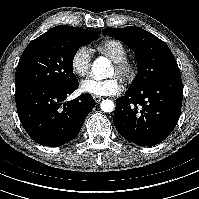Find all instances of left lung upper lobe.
Returning a JSON list of instances; mask_svg holds the SVG:
<instances>
[{"mask_svg":"<svg viewBox=\"0 0 199 199\" xmlns=\"http://www.w3.org/2000/svg\"><path fill=\"white\" fill-rule=\"evenodd\" d=\"M104 34L126 43L137 59L138 75L130 90H139L166 76L180 74L177 62L165 42L135 26L107 28Z\"/></svg>","mask_w":199,"mask_h":199,"instance_id":"5c2ea615","label":"left lung upper lobe"}]
</instances>
